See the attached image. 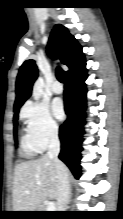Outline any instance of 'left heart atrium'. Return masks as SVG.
Wrapping results in <instances>:
<instances>
[{"mask_svg":"<svg viewBox=\"0 0 123 219\" xmlns=\"http://www.w3.org/2000/svg\"><path fill=\"white\" fill-rule=\"evenodd\" d=\"M52 111H53L54 116L57 119L61 120L64 118V107H63V103L61 100L55 99L52 102Z\"/></svg>","mask_w":123,"mask_h":219,"instance_id":"left-heart-atrium-1","label":"left heart atrium"}]
</instances>
